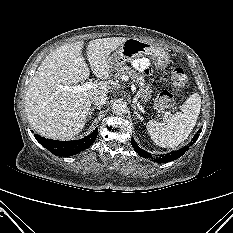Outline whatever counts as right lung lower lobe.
Listing matches in <instances>:
<instances>
[{"mask_svg":"<svg viewBox=\"0 0 233 233\" xmlns=\"http://www.w3.org/2000/svg\"><path fill=\"white\" fill-rule=\"evenodd\" d=\"M98 129L96 128L90 135L74 141H58L46 139L35 134L36 140L51 153L56 156H72L89 148L97 137Z\"/></svg>","mask_w":233,"mask_h":233,"instance_id":"98d812e1","label":"right lung lower lobe"}]
</instances>
